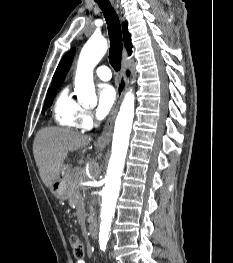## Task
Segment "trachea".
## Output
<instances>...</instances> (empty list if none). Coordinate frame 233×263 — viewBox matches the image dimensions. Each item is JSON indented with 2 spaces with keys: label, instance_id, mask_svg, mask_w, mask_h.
<instances>
[{
  "label": "trachea",
  "instance_id": "trachea-1",
  "mask_svg": "<svg viewBox=\"0 0 233 263\" xmlns=\"http://www.w3.org/2000/svg\"><path fill=\"white\" fill-rule=\"evenodd\" d=\"M103 12L108 25V34L110 39L109 62L116 70H120L122 56V32L120 21L108 0H95Z\"/></svg>",
  "mask_w": 233,
  "mask_h": 263
}]
</instances>
